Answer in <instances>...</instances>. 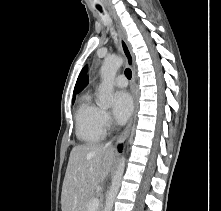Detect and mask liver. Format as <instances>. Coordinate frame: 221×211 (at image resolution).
<instances>
[{"label":"liver","mask_w":221,"mask_h":211,"mask_svg":"<svg viewBox=\"0 0 221 211\" xmlns=\"http://www.w3.org/2000/svg\"><path fill=\"white\" fill-rule=\"evenodd\" d=\"M116 157L111 146L89 143L70 153L62 187V211H84L85 200L104 182Z\"/></svg>","instance_id":"6515ba94"}]
</instances>
